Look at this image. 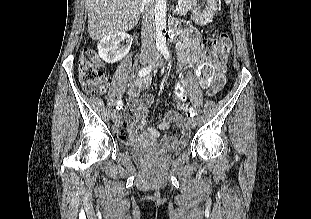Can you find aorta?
Listing matches in <instances>:
<instances>
[{"label":"aorta","instance_id":"1","mask_svg":"<svg viewBox=\"0 0 311 219\" xmlns=\"http://www.w3.org/2000/svg\"><path fill=\"white\" fill-rule=\"evenodd\" d=\"M166 0H156L155 15V39L158 49L166 48Z\"/></svg>","mask_w":311,"mask_h":219}]
</instances>
